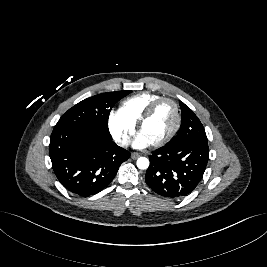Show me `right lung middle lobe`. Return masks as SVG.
I'll return each mask as SVG.
<instances>
[{
  "mask_svg": "<svg viewBox=\"0 0 267 267\" xmlns=\"http://www.w3.org/2000/svg\"><path fill=\"white\" fill-rule=\"evenodd\" d=\"M130 90L107 92L87 98L61 116L55 127L108 129V118L112 107Z\"/></svg>",
  "mask_w": 267,
  "mask_h": 267,
  "instance_id": "1",
  "label": "right lung middle lobe"
}]
</instances>
